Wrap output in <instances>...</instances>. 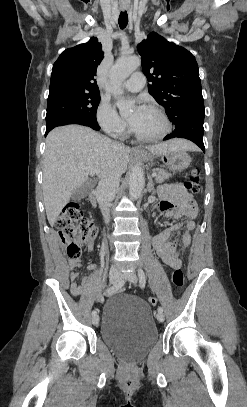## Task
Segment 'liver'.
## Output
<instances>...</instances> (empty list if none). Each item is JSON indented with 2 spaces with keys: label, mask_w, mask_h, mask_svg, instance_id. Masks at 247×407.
Wrapping results in <instances>:
<instances>
[{
  "label": "liver",
  "mask_w": 247,
  "mask_h": 407,
  "mask_svg": "<svg viewBox=\"0 0 247 407\" xmlns=\"http://www.w3.org/2000/svg\"><path fill=\"white\" fill-rule=\"evenodd\" d=\"M153 155L175 150H195L189 141L173 139L150 145ZM131 149L89 127L68 125L52 130L46 138L43 159V197L48 222L53 226L74 191L88 181V168L99 177L125 173Z\"/></svg>",
  "instance_id": "1"
}]
</instances>
